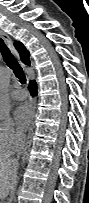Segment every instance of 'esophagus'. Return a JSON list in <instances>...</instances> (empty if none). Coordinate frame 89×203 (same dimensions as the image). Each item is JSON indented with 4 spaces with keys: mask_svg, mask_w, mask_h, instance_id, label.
I'll return each instance as SVG.
<instances>
[{
    "mask_svg": "<svg viewBox=\"0 0 89 203\" xmlns=\"http://www.w3.org/2000/svg\"><path fill=\"white\" fill-rule=\"evenodd\" d=\"M0 38L4 40V42L10 48V50L13 52V54L18 56L17 52H16V50H15V48L13 46L12 39L6 33H4L3 31H0ZM32 110H33V114H35V99H33V101H32ZM33 130H34V124L32 122L30 131H29V134H28V138H27L26 148L24 150V154H23V157H22V161H24L25 157L28 155V152L30 150Z\"/></svg>",
    "mask_w": 89,
    "mask_h": 203,
    "instance_id": "obj_1",
    "label": "esophagus"
}]
</instances>
